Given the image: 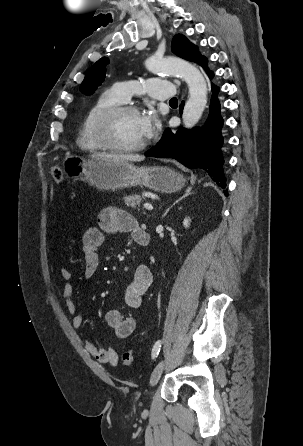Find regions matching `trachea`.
<instances>
[{
  "instance_id": "3493384b",
  "label": "trachea",
  "mask_w": 303,
  "mask_h": 446,
  "mask_svg": "<svg viewBox=\"0 0 303 446\" xmlns=\"http://www.w3.org/2000/svg\"><path fill=\"white\" fill-rule=\"evenodd\" d=\"M169 103H178V100H177V98H172V99L169 101Z\"/></svg>"
}]
</instances>
